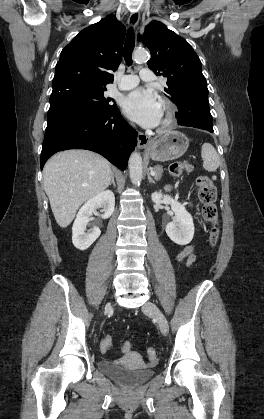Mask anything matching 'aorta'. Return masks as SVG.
<instances>
[{"label":"aorta","mask_w":264,"mask_h":419,"mask_svg":"<svg viewBox=\"0 0 264 419\" xmlns=\"http://www.w3.org/2000/svg\"><path fill=\"white\" fill-rule=\"evenodd\" d=\"M136 63H144L149 59L146 50H136L133 54ZM130 178L134 185H140L142 180V158L138 152H133L129 158Z\"/></svg>","instance_id":"1"}]
</instances>
